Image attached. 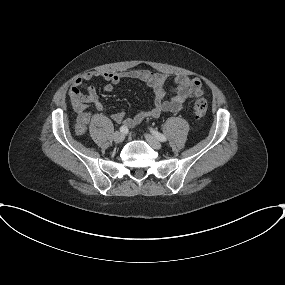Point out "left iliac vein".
<instances>
[{
  "label": "left iliac vein",
  "instance_id": "obj_1",
  "mask_svg": "<svg viewBox=\"0 0 285 285\" xmlns=\"http://www.w3.org/2000/svg\"><path fill=\"white\" fill-rule=\"evenodd\" d=\"M145 138L151 147H153L154 149H157V150L161 149L162 144L155 137H153L150 134H146Z\"/></svg>",
  "mask_w": 285,
  "mask_h": 285
}]
</instances>
